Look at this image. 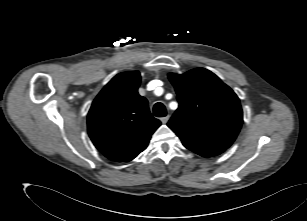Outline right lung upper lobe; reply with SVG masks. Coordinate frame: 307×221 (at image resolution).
<instances>
[{"label":"right lung upper lobe","mask_w":307,"mask_h":221,"mask_svg":"<svg viewBox=\"0 0 307 221\" xmlns=\"http://www.w3.org/2000/svg\"><path fill=\"white\" fill-rule=\"evenodd\" d=\"M138 71L116 75L101 90L88 113L89 136L95 147L108 159L128 162L148 145L161 125L140 96Z\"/></svg>","instance_id":"right-lung-upper-lobe-1"}]
</instances>
